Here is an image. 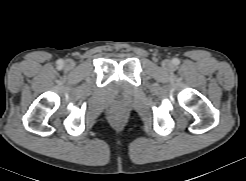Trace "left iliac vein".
Listing matches in <instances>:
<instances>
[{"label":"left iliac vein","mask_w":246,"mask_h":181,"mask_svg":"<svg viewBox=\"0 0 246 181\" xmlns=\"http://www.w3.org/2000/svg\"><path fill=\"white\" fill-rule=\"evenodd\" d=\"M163 67H164V68H167V69H171V68H172V64L170 63V61L165 60V61L163 62Z\"/></svg>","instance_id":"4c4485c4"}]
</instances>
